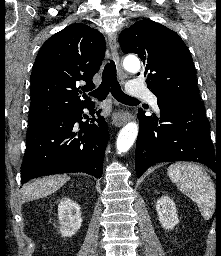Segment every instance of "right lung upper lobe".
Returning <instances> with one entry per match:
<instances>
[{"label": "right lung upper lobe", "instance_id": "1", "mask_svg": "<svg viewBox=\"0 0 221 256\" xmlns=\"http://www.w3.org/2000/svg\"><path fill=\"white\" fill-rule=\"evenodd\" d=\"M105 55L104 36L85 24L75 23L54 34L41 47L31 73L29 117L44 118L63 113L90 102L80 100L83 92L93 89V76Z\"/></svg>", "mask_w": 221, "mask_h": 256}]
</instances>
